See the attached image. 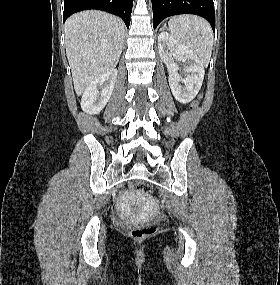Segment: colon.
<instances>
[{"label":"colon","mask_w":280,"mask_h":285,"mask_svg":"<svg viewBox=\"0 0 280 285\" xmlns=\"http://www.w3.org/2000/svg\"><path fill=\"white\" fill-rule=\"evenodd\" d=\"M135 188L139 192H147L149 190V186L144 182L137 183ZM155 230V225H138L131 229L130 235L136 240H141L152 234Z\"/></svg>","instance_id":"obj_1"}]
</instances>
